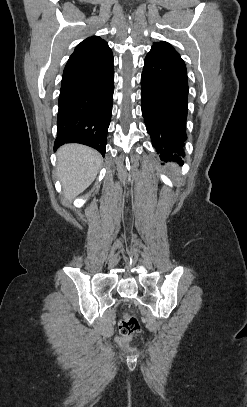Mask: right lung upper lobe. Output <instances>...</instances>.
<instances>
[{"mask_svg":"<svg viewBox=\"0 0 247 407\" xmlns=\"http://www.w3.org/2000/svg\"><path fill=\"white\" fill-rule=\"evenodd\" d=\"M110 56H112V51L105 40L99 36L85 39L70 56L64 69L62 83L84 74Z\"/></svg>","mask_w":247,"mask_h":407,"instance_id":"1","label":"right lung upper lobe"}]
</instances>
